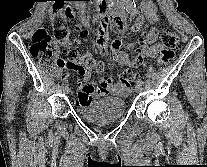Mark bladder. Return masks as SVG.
<instances>
[{
	"mask_svg": "<svg viewBox=\"0 0 207 167\" xmlns=\"http://www.w3.org/2000/svg\"><path fill=\"white\" fill-rule=\"evenodd\" d=\"M78 116L95 124H106L121 119L126 113V101L121 96H105L76 106Z\"/></svg>",
	"mask_w": 207,
	"mask_h": 167,
	"instance_id": "bladder-1",
	"label": "bladder"
}]
</instances>
